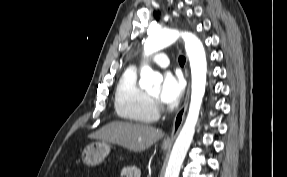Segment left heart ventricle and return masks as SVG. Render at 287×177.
<instances>
[{
	"instance_id": "left-heart-ventricle-1",
	"label": "left heart ventricle",
	"mask_w": 287,
	"mask_h": 177,
	"mask_svg": "<svg viewBox=\"0 0 287 177\" xmlns=\"http://www.w3.org/2000/svg\"><path fill=\"white\" fill-rule=\"evenodd\" d=\"M151 95L155 96V97H158L159 96V88H156L155 90H152L150 92Z\"/></svg>"
}]
</instances>
